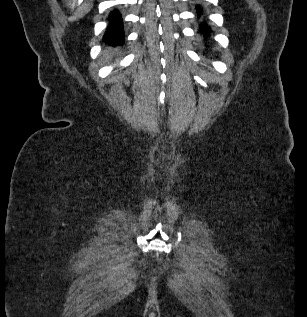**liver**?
Masks as SVG:
<instances>
[{"instance_id": "liver-1", "label": "liver", "mask_w": 307, "mask_h": 317, "mask_svg": "<svg viewBox=\"0 0 307 317\" xmlns=\"http://www.w3.org/2000/svg\"><path fill=\"white\" fill-rule=\"evenodd\" d=\"M114 55V52L111 48H107L105 51H104V55H103V60L106 62V61H109L112 59Z\"/></svg>"}]
</instances>
